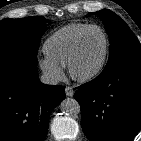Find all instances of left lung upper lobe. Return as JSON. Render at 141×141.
Listing matches in <instances>:
<instances>
[{"label":"left lung upper lobe","mask_w":141,"mask_h":141,"mask_svg":"<svg viewBox=\"0 0 141 141\" xmlns=\"http://www.w3.org/2000/svg\"><path fill=\"white\" fill-rule=\"evenodd\" d=\"M94 14L102 18L110 38V54L106 67L123 60L141 59V45L118 15L108 9Z\"/></svg>","instance_id":"1"}]
</instances>
